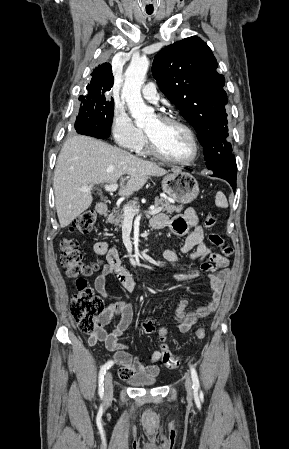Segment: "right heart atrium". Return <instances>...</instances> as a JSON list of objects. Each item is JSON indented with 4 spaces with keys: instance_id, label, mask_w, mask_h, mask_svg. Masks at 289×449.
Instances as JSON below:
<instances>
[{
    "instance_id": "right-heart-atrium-1",
    "label": "right heart atrium",
    "mask_w": 289,
    "mask_h": 449,
    "mask_svg": "<svg viewBox=\"0 0 289 449\" xmlns=\"http://www.w3.org/2000/svg\"><path fill=\"white\" fill-rule=\"evenodd\" d=\"M112 134L120 147L131 151L140 150L145 142L143 131L134 124L128 113L122 108L114 110Z\"/></svg>"
}]
</instances>
